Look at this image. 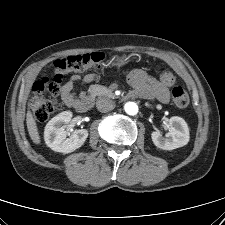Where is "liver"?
Masks as SVG:
<instances>
[{"mask_svg":"<svg viewBox=\"0 0 225 225\" xmlns=\"http://www.w3.org/2000/svg\"><path fill=\"white\" fill-rule=\"evenodd\" d=\"M26 124H27V129H28V133H29L31 140L35 144H40V136L38 133L36 122L33 118L31 111H27Z\"/></svg>","mask_w":225,"mask_h":225,"instance_id":"liver-1","label":"liver"}]
</instances>
